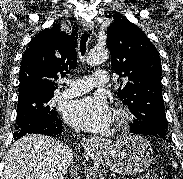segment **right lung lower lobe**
Listing matches in <instances>:
<instances>
[{
  "instance_id": "98d812e1",
  "label": "right lung lower lobe",
  "mask_w": 183,
  "mask_h": 179,
  "mask_svg": "<svg viewBox=\"0 0 183 179\" xmlns=\"http://www.w3.org/2000/svg\"><path fill=\"white\" fill-rule=\"evenodd\" d=\"M62 121L57 119L51 123H36L22 127L14 133V140L27 135V134H43L48 136H58L62 133Z\"/></svg>"
}]
</instances>
